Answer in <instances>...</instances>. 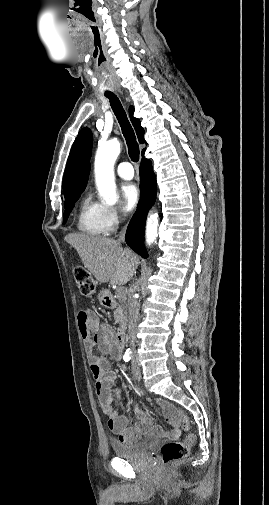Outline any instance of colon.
Returning a JSON list of instances; mask_svg holds the SVG:
<instances>
[{
  "label": "colon",
  "mask_w": 269,
  "mask_h": 505,
  "mask_svg": "<svg viewBox=\"0 0 269 505\" xmlns=\"http://www.w3.org/2000/svg\"><path fill=\"white\" fill-rule=\"evenodd\" d=\"M73 275L80 293L84 296H92L95 293L96 285L92 275L83 267L76 266ZM176 419L185 429L189 426V421L180 411L176 414ZM194 437L188 435L184 441H170L161 447V459L163 464L171 465L188 455L189 447L193 444Z\"/></svg>",
  "instance_id": "obj_1"
}]
</instances>
